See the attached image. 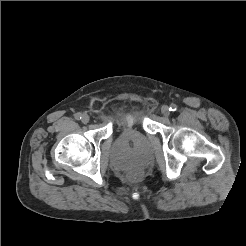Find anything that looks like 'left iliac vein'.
I'll return each mask as SVG.
<instances>
[{
  "instance_id": "1",
  "label": "left iliac vein",
  "mask_w": 246,
  "mask_h": 246,
  "mask_svg": "<svg viewBox=\"0 0 246 246\" xmlns=\"http://www.w3.org/2000/svg\"><path fill=\"white\" fill-rule=\"evenodd\" d=\"M161 112L165 117H168L170 115V109L166 105L162 106Z\"/></svg>"
}]
</instances>
